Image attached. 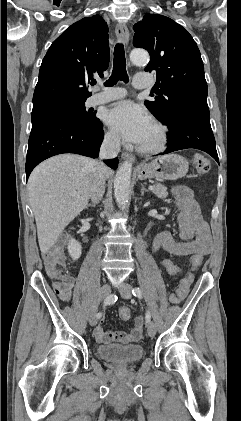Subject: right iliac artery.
Returning <instances> with one entry per match:
<instances>
[{
    "mask_svg": "<svg viewBox=\"0 0 241 421\" xmlns=\"http://www.w3.org/2000/svg\"><path fill=\"white\" fill-rule=\"evenodd\" d=\"M117 301V296L116 295H114V294H112V295H109L105 300H104V307L105 306H108V305H112V304H114L115 302ZM97 319H99V318H101V316H102V313L101 312H99V313H97Z\"/></svg>",
    "mask_w": 241,
    "mask_h": 421,
    "instance_id": "right-iliac-artery-1",
    "label": "right iliac artery"
}]
</instances>
